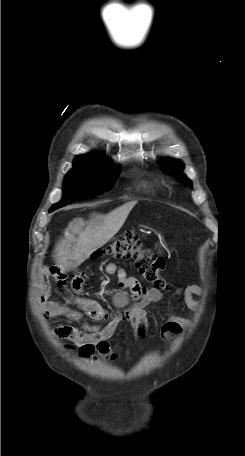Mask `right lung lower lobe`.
Wrapping results in <instances>:
<instances>
[{"instance_id":"obj_1","label":"right lung lower lobe","mask_w":245,"mask_h":456,"mask_svg":"<svg viewBox=\"0 0 245 456\" xmlns=\"http://www.w3.org/2000/svg\"><path fill=\"white\" fill-rule=\"evenodd\" d=\"M54 211L53 209H50V212Z\"/></svg>"}]
</instances>
